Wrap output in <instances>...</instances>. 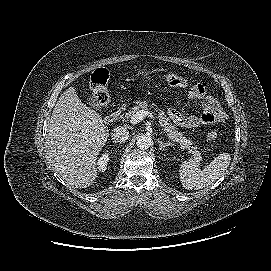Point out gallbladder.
<instances>
[{
    "mask_svg": "<svg viewBox=\"0 0 271 271\" xmlns=\"http://www.w3.org/2000/svg\"><path fill=\"white\" fill-rule=\"evenodd\" d=\"M87 104H89V106L92 108L95 109L99 108V105L95 102V99L91 95L87 98Z\"/></svg>",
    "mask_w": 271,
    "mask_h": 271,
    "instance_id": "bac80fb5",
    "label": "gallbladder"
}]
</instances>
